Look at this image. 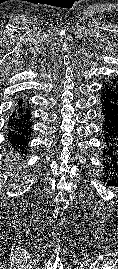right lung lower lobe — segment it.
<instances>
[{
	"label": "right lung lower lobe",
	"mask_w": 118,
	"mask_h": 269,
	"mask_svg": "<svg viewBox=\"0 0 118 269\" xmlns=\"http://www.w3.org/2000/svg\"><path fill=\"white\" fill-rule=\"evenodd\" d=\"M30 118V110L23 105V100H19L17 107L9 118L7 138L12 144L20 147L22 152H24V146H28L27 140L31 134Z\"/></svg>",
	"instance_id": "obj_1"
}]
</instances>
